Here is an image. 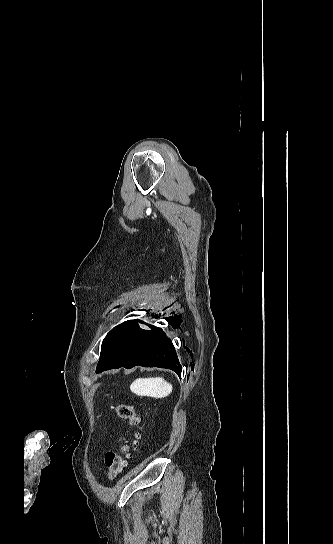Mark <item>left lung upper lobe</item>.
Returning a JSON list of instances; mask_svg holds the SVG:
<instances>
[{
    "label": "left lung upper lobe",
    "mask_w": 333,
    "mask_h": 544,
    "mask_svg": "<svg viewBox=\"0 0 333 544\" xmlns=\"http://www.w3.org/2000/svg\"><path fill=\"white\" fill-rule=\"evenodd\" d=\"M156 317H157V316H156ZM149 326H150L151 328H154V326H151V325H149ZM106 354H107V348H106L105 346H103V347H102V351H101L100 361H99L98 365H99L100 363L103 362V360L105 359Z\"/></svg>",
    "instance_id": "left-lung-upper-lobe-1"
}]
</instances>
